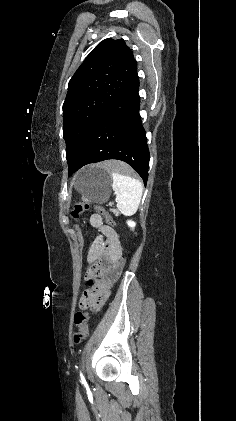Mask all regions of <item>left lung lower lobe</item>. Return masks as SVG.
I'll return each mask as SVG.
<instances>
[{"mask_svg":"<svg viewBox=\"0 0 236 421\" xmlns=\"http://www.w3.org/2000/svg\"><path fill=\"white\" fill-rule=\"evenodd\" d=\"M139 77L135 67L123 91L109 105L89 134L68 176L90 163L118 159L128 163L146 184L149 149L140 110Z\"/></svg>","mask_w":236,"mask_h":421,"instance_id":"obj_1","label":"left lung lower lobe"}]
</instances>
